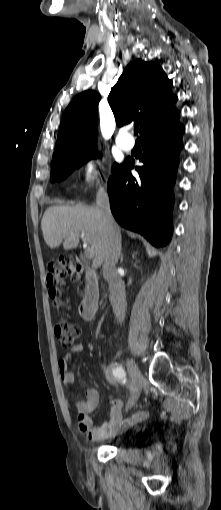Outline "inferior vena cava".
Returning <instances> with one entry per match:
<instances>
[{
    "label": "inferior vena cava",
    "instance_id": "obj_1",
    "mask_svg": "<svg viewBox=\"0 0 221 510\" xmlns=\"http://www.w3.org/2000/svg\"><path fill=\"white\" fill-rule=\"evenodd\" d=\"M96 205L103 213L105 229L108 233V241L104 253L103 277L109 283L111 301L118 322L125 319L127 302L125 286L116 271V264L121 253V236L118 226L110 210L109 196L105 189L98 190Z\"/></svg>",
    "mask_w": 221,
    "mask_h": 510
}]
</instances>
